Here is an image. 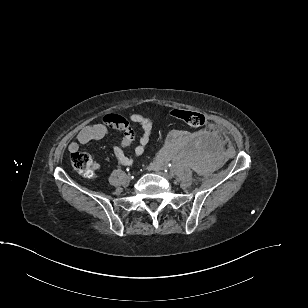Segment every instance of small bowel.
<instances>
[{
	"mask_svg": "<svg viewBox=\"0 0 308 308\" xmlns=\"http://www.w3.org/2000/svg\"><path fill=\"white\" fill-rule=\"evenodd\" d=\"M129 120L138 124L142 129V134L134 148V157H140L149 143L153 129V121L149 116L139 113H132ZM129 120L116 114H107L104 116L101 123L84 127L77 134V141L71 142L68 149L72 153L79 149V144L101 140L109 134L110 130H118L122 132L123 136L120 145L115 146L113 149L114 156L121 165L130 166L133 164L134 158L127 156L124 149L131 146L134 142L135 132L131 127ZM93 168L94 171H98L100 166L98 163H94Z\"/></svg>",
	"mask_w": 308,
	"mask_h": 308,
	"instance_id": "1",
	"label": "small bowel"
}]
</instances>
